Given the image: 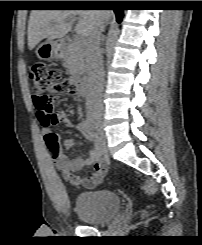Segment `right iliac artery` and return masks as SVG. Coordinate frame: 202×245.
Masks as SVG:
<instances>
[{
  "mask_svg": "<svg viewBox=\"0 0 202 245\" xmlns=\"http://www.w3.org/2000/svg\"><path fill=\"white\" fill-rule=\"evenodd\" d=\"M82 126H83L84 130L87 131L91 135L92 138L97 137V134L93 131V128H92V125H91V122L89 119H85L82 122ZM97 148L101 152V145L98 144Z\"/></svg>",
  "mask_w": 202,
  "mask_h": 245,
  "instance_id": "obj_1",
  "label": "right iliac artery"
}]
</instances>
